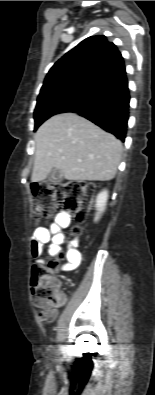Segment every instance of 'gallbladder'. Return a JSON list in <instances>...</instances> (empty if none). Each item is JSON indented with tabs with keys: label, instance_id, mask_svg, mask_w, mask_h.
<instances>
[{
	"label": "gallbladder",
	"instance_id": "bac80fb5",
	"mask_svg": "<svg viewBox=\"0 0 155 395\" xmlns=\"http://www.w3.org/2000/svg\"><path fill=\"white\" fill-rule=\"evenodd\" d=\"M47 180L53 184L60 183L63 180V174L60 170L53 168L48 174Z\"/></svg>",
	"mask_w": 155,
	"mask_h": 395
}]
</instances>
